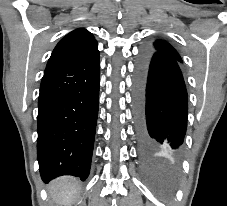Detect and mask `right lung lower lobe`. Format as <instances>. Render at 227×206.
Returning <instances> with one entry per match:
<instances>
[{"label":"right lung lower lobe","mask_w":227,"mask_h":206,"mask_svg":"<svg viewBox=\"0 0 227 206\" xmlns=\"http://www.w3.org/2000/svg\"><path fill=\"white\" fill-rule=\"evenodd\" d=\"M100 61L44 74L38 99L37 154L42 180L90 172L99 103Z\"/></svg>","instance_id":"1"}]
</instances>
